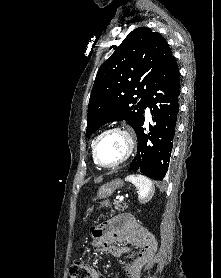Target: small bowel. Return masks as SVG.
Segmentation results:
<instances>
[{
    "instance_id": "1",
    "label": "small bowel",
    "mask_w": 221,
    "mask_h": 278,
    "mask_svg": "<svg viewBox=\"0 0 221 278\" xmlns=\"http://www.w3.org/2000/svg\"><path fill=\"white\" fill-rule=\"evenodd\" d=\"M97 246L104 253L120 257L133 249L139 252L132 263L125 266L128 278H139L143 265L156 250L154 237L139 223L127 214H119L110 219L103 227L94 230ZM90 278H101L96 269H91Z\"/></svg>"
}]
</instances>
